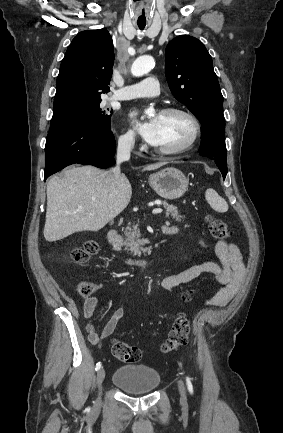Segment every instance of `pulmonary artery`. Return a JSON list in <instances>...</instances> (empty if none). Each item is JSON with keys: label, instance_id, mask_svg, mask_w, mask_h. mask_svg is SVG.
Here are the masks:
<instances>
[{"label": "pulmonary artery", "instance_id": "pulmonary-artery-1", "mask_svg": "<svg viewBox=\"0 0 283 433\" xmlns=\"http://www.w3.org/2000/svg\"><path fill=\"white\" fill-rule=\"evenodd\" d=\"M158 89L157 78L148 77L137 83H126L123 88L111 95V99L130 100L139 97H154L159 94Z\"/></svg>", "mask_w": 283, "mask_h": 433}]
</instances>
